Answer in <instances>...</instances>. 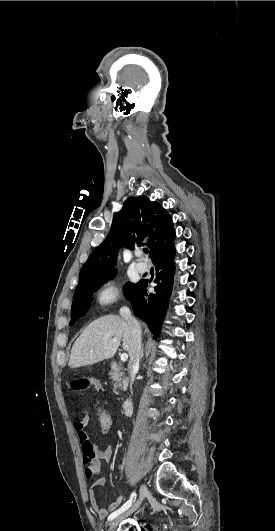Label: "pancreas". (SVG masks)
Segmentation results:
<instances>
[{
  "label": "pancreas",
  "instance_id": "cf45deb5",
  "mask_svg": "<svg viewBox=\"0 0 275 531\" xmlns=\"http://www.w3.org/2000/svg\"><path fill=\"white\" fill-rule=\"evenodd\" d=\"M116 363H112V371L108 373L110 379H113V381H116L114 383V387H117V389H122V387H127L129 383V379L127 377H123V373H118V371H114Z\"/></svg>",
  "mask_w": 275,
  "mask_h": 531
}]
</instances>
